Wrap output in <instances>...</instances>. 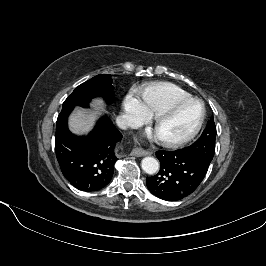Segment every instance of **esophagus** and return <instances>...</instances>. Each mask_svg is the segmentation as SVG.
<instances>
[{
    "instance_id": "34e87169",
    "label": "esophagus",
    "mask_w": 266,
    "mask_h": 266,
    "mask_svg": "<svg viewBox=\"0 0 266 266\" xmlns=\"http://www.w3.org/2000/svg\"><path fill=\"white\" fill-rule=\"evenodd\" d=\"M130 155L136 156V157H141V156H145V155H150V152L146 151L142 148L135 147L131 150Z\"/></svg>"
}]
</instances>
